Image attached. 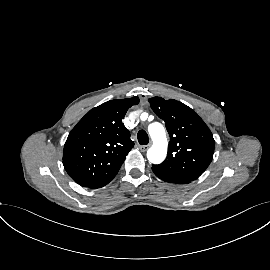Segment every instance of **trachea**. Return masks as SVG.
Masks as SVG:
<instances>
[{"label":"trachea","instance_id":"1","mask_svg":"<svg viewBox=\"0 0 270 270\" xmlns=\"http://www.w3.org/2000/svg\"><path fill=\"white\" fill-rule=\"evenodd\" d=\"M138 141L141 145H147L149 138L147 133L144 130H140L137 134Z\"/></svg>","mask_w":270,"mask_h":270}]
</instances>
